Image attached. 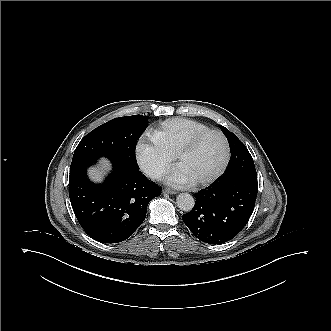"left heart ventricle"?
<instances>
[{
  "instance_id": "left-heart-ventricle-1",
  "label": "left heart ventricle",
  "mask_w": 331,
  "mask_h": 331,
  "mask_svg": "<svg viewBox=\"0 0 331 331\" xmlns=\"http://www.w3.org/2000/svg\"><path fill=\"white\" fill-rule=\"evenodd\" d=\"M223 156L221 139L216 135H209L184 155L180 167L193 180L207 178L217 171Z\"/></svg>"
}]
</instances>
